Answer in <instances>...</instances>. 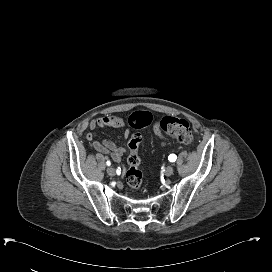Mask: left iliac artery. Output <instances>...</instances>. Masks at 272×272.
I'll return each mask as SVG.
<instances>
[{
	"label": "left iliac artery",
	"instance_id": "1",
	"mask_svg": "<svg viewBox=\"0 0 272 272\" xmlns=\"http://www.w3.org/2000/svg\"><path fill=\"white\" fill-rule=\"evenodd\" d=\"M176 159H177V156H176L175 154H170V155L168 156V160H169L170 162H175Z\"/></svg>",
	"mask_w": 272,
	"mask_h": 272
}]
</instances>
